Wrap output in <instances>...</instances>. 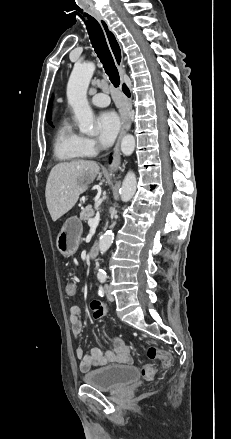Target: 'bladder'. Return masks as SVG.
I'll use <instances>...</instances> for the list:
<instances>
[{"label":"bladder","instance_id":"obj_1","mask_svg":"<svg viewBox=\"0 0 231 439\" xmlns=\"http://www.w3.org/2000/svg\"><path fill=\"white\" fill-rule=\"evenodd\" d=\"M139 371L131 365H113L89 371L83 375L85 384L101 390L115 391L135 381Z\"/></svg>","mask_w":231,"mask_h":439}]
</instances>
